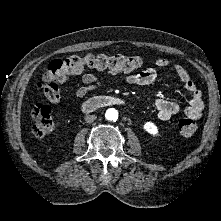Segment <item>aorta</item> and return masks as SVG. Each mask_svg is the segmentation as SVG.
Returning a JSON list of instances; mask_svg holds the SVG:
<instances>
[{
  "label": "aorta",
  "mask_w": 221,
  "mask_h": 221,
  "mask_svg": "<svg viewBox=\"0 0 221 221\" xmlns=\"http://www.w3.org/2000/svg\"><path fill=\"white\" fill-rule=\"evenodd\" d=\"M105 118L107 120L116 121L118 119V112L114 108H110L105 113Z\"/></svg>",
  "instance_id": "obj_1"
}]
</instances>
